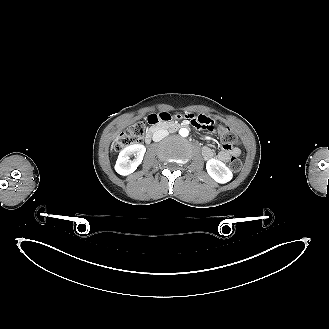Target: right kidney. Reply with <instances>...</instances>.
Returning <instances> with one entry per match:
<instances>
[{"label": "right kidney", "instance_id": "1", "mask_svg": "<svg viewBox=\"0 0 329 329\" xmlns=\"http://www.w3.org/2000/svg\"><path fill=\"white\" fill-rule=\"evenodd\" d=\"M146 152V147L142 144L129 145L123 149L118 156L115 164V170L120 175H129L133 173L137 167L141 164L143 156ZM135 155L133 160L130 159V155Z\"/></svg>", "mask_w": 329, "mask_h": 329}]
</instances>
